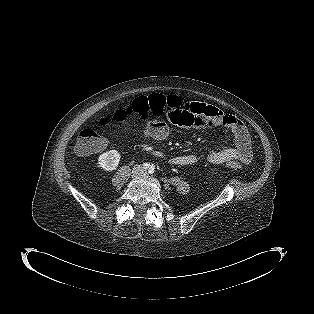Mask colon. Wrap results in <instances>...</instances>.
Here are the masks:
<instances>
[{
    "mask_svg": "<svg viewBox=\"0 0 314 314\" xmlns=\"http://www.w3.org/2000/svg\"><path fill=\"white\" fill-rule=\"evenodd\" d=\"M171 104H182L180 98L174 95L164 96L162 94H151L148 96H139L125 109L118 110L114 114V119L119 122H125L132 115H136L140 120L149 123L163 117L165 108ZM112 122L110 117L102 118L99 123L101 126H108ZM104 146V139L91 127L83 128L77 138L75 151L79 155H89L100 151ZM226 166L237 170L241 167L238 160L229 159Z\"/></svg>",
    "mask_w": 314,
    "mask_h": 314,
    "instance_id": "colon-1",
    "label": "colon"
}]
</instances>
